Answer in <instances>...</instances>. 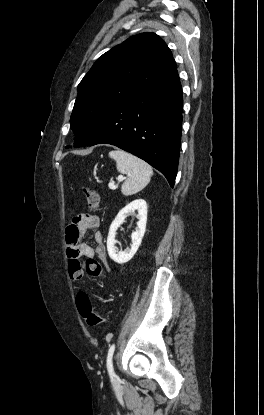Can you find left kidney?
<instances>
[{
  "label": "left kidney",
  "mask_w": 264,
  "mask_h": 415,
  "mask_svg": "<svg viewBox=\"0 0 264 415\" xmlns=\"http://www.w3.org/2000/svg\"><path fill=\"white\" fill-rule=\"evenodd\" d=\"M138 211V222L136 231L132 233L131 239L132 244L130 248H127L124 251H119L116 247V240L115 235L117 229L120 225L124 222L125 218L129 215ZM146 222H147V204L146 201L143 199H137L132 201L131 203L127 204L124 208H122L119 213L117 214L116 218L112 222L109 228V234L107 237V250L110 258L117 262L118 264H124L132 259V257L137 252L142 238L145 233L146 229Z\"/></svg>",
  "instance_id": "1"
}]
</instances>
